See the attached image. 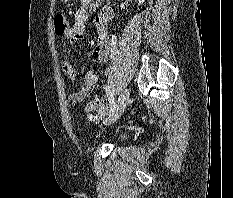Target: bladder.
I'll return each instance as SVG.
<instances>
[{"label":"bladder","mask_w":233,"mask_h":198,"mask_svg":"<svg viewBox=\"0 0 233 198\" xmlns=\"http://www.w3.org/2000/svg\"><path fill=\"white\" fill-rule=\"evenodd\" d=\"M125 136L124 135H120V138L123 139Z\"/></svg>","instance_id":"obj_1"}]
</instances>
